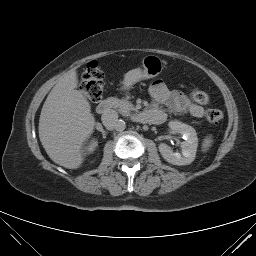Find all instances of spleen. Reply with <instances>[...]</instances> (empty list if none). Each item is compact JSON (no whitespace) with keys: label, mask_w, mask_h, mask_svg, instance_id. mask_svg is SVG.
Wrapping results in <instances>:
<instances>
[{"label":"spleen","mask_w":256,"mask_h":256,"mask_svg":"<svg viewBox=\"0 0 256 256\" xmlns=\"http://www.w3.org/2000/svg\"><path fill=\"white\" fill-rule=\"evenodd\" d=\"M212 143H213L212 135L206 136V138L202 142V151L206 152L210 148Z\"/></svg>","instance_id":"spleen-1"}]
</instances>
